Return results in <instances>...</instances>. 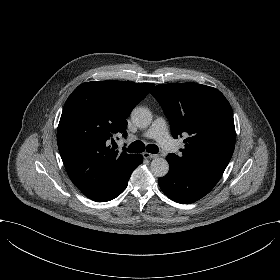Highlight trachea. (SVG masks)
Wrapping results in <instances>:
<instances>
[{
  "label": "trachea",
  "instance_id": "obj_1",
  "mask_svg": "<svg viewBox=\"0 0 280 280\" xmlns=\"http://www.w3.org/2000/svg\"><path fill=\"white\" fill-rule=\"evenodd\" d=\"M127 151L130 153H142L145 151V144L142 141H135L128 146ZM146 151L156 154L159 152V148L155 144H148L146 146Z\"/></svg>",
  "mask_w": 280,
  "mask_h": 280
}]
</instances>
